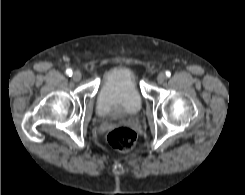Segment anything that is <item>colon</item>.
Masks as SVG:
<instances>
[{
	"label": "colon",
	"mask_w": 245,
	"mask_h": 195,
	"mask_svg": "<svg viewBox=\"0 0 245 195\" xmlns=\"http://www.w3.org/2000/svg\"><path fill=\"white\" fill-rule=\"evenodd\" d=\"M109 144L121 152L133 149L136 141V134L127 127H118L107 134Z\"/></svg>",
	"instance_id": "5ec220e1"
}]
</instances>
